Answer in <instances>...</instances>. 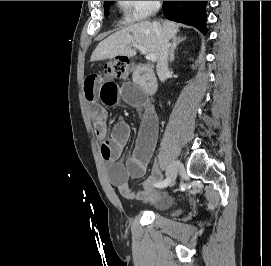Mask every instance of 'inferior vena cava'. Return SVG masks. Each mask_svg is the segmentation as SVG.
I'll list each match as a JSON object with an SVG mask.
<instances>
[{
  "label": "inferior vena cava",
  "mask_w": 271,
  "mask_h": 266,
  "mask_svg": "<svg viewBox=\"0 0 271 266\" xmlns=\"http://www.w3.org/2000/svg\"><path fill=\"white\" fill-rule=\"evenodd\" d=\"M154 29L158 38L159 58L157 63V74L161 81H165L168 69L169 41L159 23L153 22Z\"/></svg>",
  "instance_id": "602c4592"
}]
</instances>
